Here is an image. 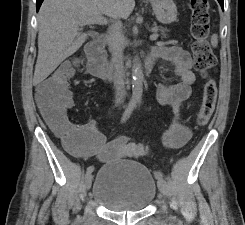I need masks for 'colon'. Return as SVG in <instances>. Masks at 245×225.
I'll list each match as a JSON object with an SVG mask.
<instances>
[{"label": "colon", "mask_w": 245, "mask_h": 225, "mask_svg": "<svg viewBox=\"0 0 245 225\" xmlns=\"http://www.w3.org/2000/svg\"><path fill=\"white\" fill-rule=\"evenodd\" d=\"M191 34L194 38L192 51L195 68L205 79L203 87L202 105L197 114L196 122L200 126L206 125L213 117L217 99V86L210 73L216 68V56L209 43L210 33V4L208 0H191ZM71 77L66 72L54 73L40 87L44 106L58 113L70 94ZM61 139L66 148L73 147V135L76 129L63 126L59 129Z\"/></svg>", "instance_id": "obj_1"}]
</instances>
